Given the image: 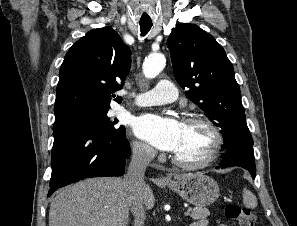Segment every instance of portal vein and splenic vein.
Masks as SVG:
<instances>
[{
	"mask_svg": "<svg viewBox=\"0 0 297 226\" xmlns=\"http://www.w3.org/2000/svg\"><path fill=\"white\" fill-rule=\"evenodd\" d=\"M189 214H190L189 211H185V212H184V216H188Z\"/></svg>",
	"mask_w": 297,
	"mask_h": 226,
	"instance_id": "18ae733b",
	"label": "portal vein and splenic vein"
}]
</instances>
